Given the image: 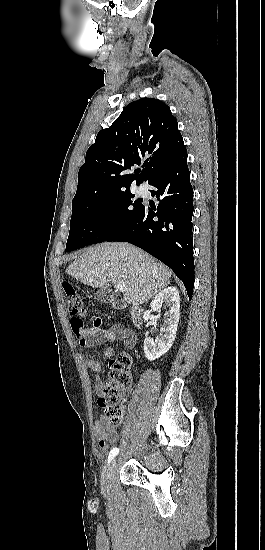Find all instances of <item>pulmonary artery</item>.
Instances as JSON below:
<instances>
[{"label":"pulmonary artery","mask_w":265,"mask_h":550,"mask_svg":"<svg viewBox=\"0 0 265 550\" xmlns=\"http://www.w3.org/2000/svg\"><path fill=\"white\" fill-rule=\"evenodd\" d=\"M138 193L145 194L147 192V189L145 186L141 185L137 188Z\"/></svg>","instance_id":"1"}]
</instances>
